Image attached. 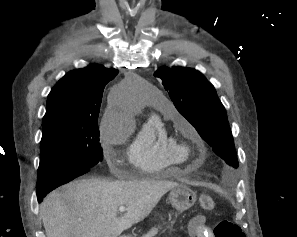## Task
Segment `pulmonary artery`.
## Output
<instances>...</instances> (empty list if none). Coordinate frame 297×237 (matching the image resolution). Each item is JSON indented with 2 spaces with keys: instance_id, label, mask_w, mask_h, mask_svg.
<instances>
[{
  "instance_id": "e3ab8cb5",
  "label": "pulmonary artery",
  "mask_w": 297,
  "mask_h": 237,
  "mask_svg": "<svg viewBox=\"0 0 297 237\" xmlns=\"http://www.w3.org/2000/svg\"><path fill=\"white\" fill-rule=\"evenodd\" d=\"M168 108H171V104L170 103H166Z\"/></svg>"
}]
</instances>
